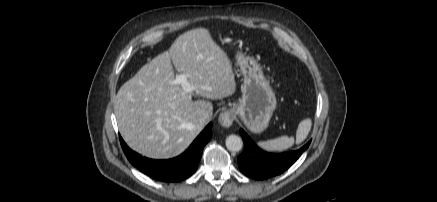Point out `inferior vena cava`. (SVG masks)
<instances>
[{
	"instance_id": "obj_1",
	"label": "inferior vena cava",
	"mask_w": 437,
	"mask_h": 202,
	"mask_svg": "<svg viewBox=\"0 0 437 202\" xmlns=\"http://www.w3.org/2000/svg\"><path fill=\"white\" fill-rule=\"evenodd\" d=\"M209 121H210V117H209V115L207 113H202L200 115L199 122L201 124L204 125V124L208 123Z\"/></svg>"
}]
</instances>
